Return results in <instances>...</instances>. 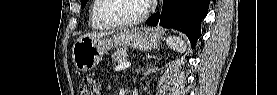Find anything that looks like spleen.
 <instances>
[{
    "label": "spleen",
    "instance_id": "1",
    "mask_svg": "<svg viewBox=\"0 0 277 95\" xmlns=\"http://www.w3.org/2000/svg\"><path fill=\"white\" fill-rule=\"evenodd\" d=\"M168 46L178 52H184L186 50V44L180 37L170 36L167 38Z\"/></svg>",
    "mask_w": 277,
    "mask_h": 95
}]
</instances>
